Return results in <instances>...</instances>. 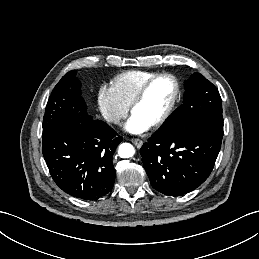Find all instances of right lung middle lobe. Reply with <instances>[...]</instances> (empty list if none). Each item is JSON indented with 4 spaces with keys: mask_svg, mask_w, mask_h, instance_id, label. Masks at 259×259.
I'll list each match as a JSON object with an SVG mask.
<instances>
[{
    "mask_svg": "<svg viewBox=\"0 0 259 259\" xmlns=\"http://www.w3.org/2000/svg\"><path fill=\"white\" fill-rule=\"evenodd\" d=\"M86 110L76 71H70L62 77L51 92L45 108L42 135L47 134L55 123L62 120L78 123L91 121L92 117L87 114Z\"/></svg>",
    "mask_w": 259,
    "mask_h": 259,
    "instance_id": "right-lung-middle-lobe-1",
    "label": "right lung middle lobe"
}]
</instances>
